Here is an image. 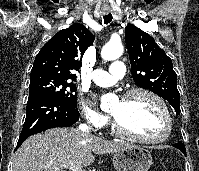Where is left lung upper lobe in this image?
Here are the masks:
<instances>
[{
    "instance_id": "obj_1",
    "label": "left lung upper lobe",
    "mask_w": 199,
    "mask_h": 171,
    "mask_svg": "<svg viewBox=\"0 0 199 171\" xmlns=\"http://www.w3.org/2000/svg\"><path fill=\"white\" fill-rule=\"evenodd\" d=\"M125 41L135 83L167 100L179 115L180 94L172 60L149 34L133 24L125 28Z\"/></svg>"
}]
</instances>
